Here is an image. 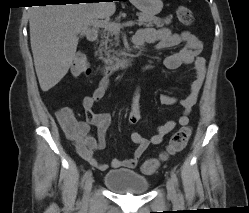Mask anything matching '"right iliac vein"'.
Here are the masks:
<instances>
[{
  "label": "right iliac vein",
  "mask_w": 249,
  "mask_h": 213,
  "mask_svg": "<svg viewBox=\"0 0 249 213\" xmlns=\"http://www.w3.org/2000/svg\"><path fill=\"white\" fill-rule=\"evenodd\" d=\"M92 184H93V178L92 176H89L85 182V196L86 197H88L91 192Z\"/></svg>",
  "instance_id": "right-iliac-vein-1"
}]
</instances>
